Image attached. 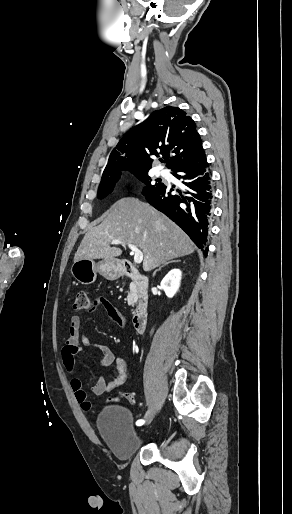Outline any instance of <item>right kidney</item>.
I'll return each instance as SVG.
<instances>
[{"label":"right kidney","instance_id":"right-kidney-1","mask_svg":"<svg viewBox=\"0 0 292 514\" xmlns=\"http://www.w3.org/2000/svg\"><path fill=\"white\" fill-rule=\"evenodd\" d=\"M181 276V270H176L175 268V270H170V272L166 274L165 278H163L161 282V288L164 290L168 298H173L176 292H178V288H180Z\"/></svg>","mask_w":292,"mask_h":514}]
</instances>
